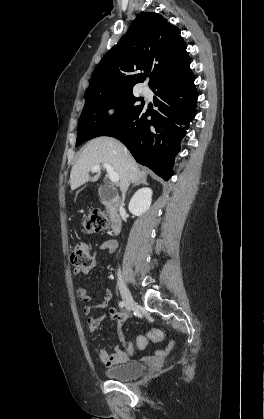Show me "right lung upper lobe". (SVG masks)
I'll return each mask as SVG.
<instances>
[{
	"instance_id": "cb5924a9",
	"label": "right lung upper lobe",
	"mask_w": 264,
	"mask_h": 419,
	"mask_svg": "<svg viewBox=\"0 0 264 419\" xmlns=\"http://www.w3.org/2000/svg\"><path fill=\"white\" fill-rule=\"evenodd\" d=\"M190 58L180 30L158 13L137 16L128 32L94 69L86 97L133 90L148 72L149 86L191 72ZM143 70L144 74H136Z\"/></svg>"
}]
</instances>
